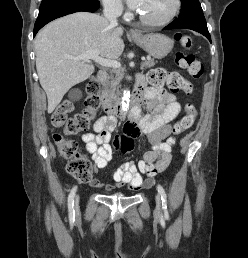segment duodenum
Here are the masks:
<instances>
[{
    "label": "duodenum",
    "instance_id": "duodenum-1",
    "mask_svg": "<svg viewBox=\"0 0 248 258\" xmlns=\"http://www.w3.org/2000/svg\"><path fill=\"white\" fill-rule=\"evenodd\" d=\"M107 78V73L104 70H99L96 74V79L100 84H103ZM144 83L137 81L135 88L131 94L130 110L124 111L122 102L118 99L110 97L106 92H100L101 107L107 115H115L121 119H131L134 113L140 108V101L143 96Z\"/></svg>",
    "mask_w": 248,
    "mask_h": 258
}]
</instances>
